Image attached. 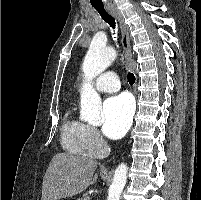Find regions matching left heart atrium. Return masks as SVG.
<instances>
[{"label":"left heart atrium","mask_w":201,"mask_h":200,"mask_svg":"<svg viewBox=\"0 0 201 200\" xmlns=\"http://www.w3.org/2000/svg\"><path fill=\"white\" fill-rule=\"evenodd\" d=\"M133 103L121 94L106 100L103 105V133L111 139L122 138L132 123Z\"/></svg>","instance_id":"1"}]
</instances>
